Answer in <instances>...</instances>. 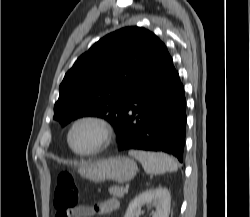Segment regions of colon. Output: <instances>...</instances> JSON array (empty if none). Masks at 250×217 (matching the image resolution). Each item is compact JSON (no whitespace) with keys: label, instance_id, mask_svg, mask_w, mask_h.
<instances>
[{"label":"colon","instance_id":"obj_1","mask_svg":"<svg viewBox=\"0 0 250 217\" xmlns=\"http://www.w3.org/2000/svg\"><path fill=\"white\" fill-rule=\"evenodd\" d=\"M79 202V188L71 173H61L56 180L53 204L56 217H70Z\"/></svg>","mask_w":250,"mask_h":217}]
</instances>
